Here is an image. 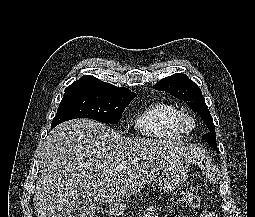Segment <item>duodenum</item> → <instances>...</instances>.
Wrapping results in <instances>:
<instances>
[{
	"mask_svg": "<svg viewBox=\"0 0 255 217\" xmlns=\"http://www.w3.org/2000/svg\"><path fill=\"white\" fill-rule=\"evenodd\" d=\"M99 210L102 213H109L111 211V206L107 203H103L99 206Z\"/></svg>",
	"mask_w": 255,
	"mask_h": 217,
	"instance_id": "obj_1",
	"label": "duodenum"
}]
</instances>
